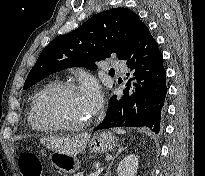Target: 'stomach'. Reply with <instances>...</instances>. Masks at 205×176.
<instances>
[{"instance_id": "1", "label": "stomach", "mask_w": 205, "mask_h": 176, "mask_svg": "<svg viewBox=\"0 0 205 176\" xmlns=\"http://www.w3.org/2000/svg\"><path fill=\"white\" fill-rule=\"evenodd\" d=\"M117 145V138L111 132H100L95 134L90 143V150L102 154L111 151ZM49 160L51 164L65 173H74L79 169L80 162L75 155H68L62 152H53Z\"/></svg>"}]
</instances>
